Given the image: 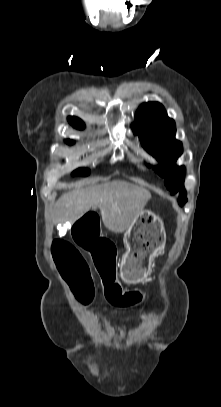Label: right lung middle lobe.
Here are the masks:
<instances>
[{
	"label": "right lung middle lobe",
	"instance_id": "dd1d6c3e",
	"mask_svg": "<svg viewBox=\"0 0 221 407\" xmlns=\"http://www.w3.org/2000/svg\"><path fill=\"white\" fill-rule=\"evenodd\" d=\"M69 144H71V143H69ZM72 174L73 175L87 176L89 174V171L80 168V169L75 170Z\"/></svg>",
	"mask_w": 221,
	"mask_h": 407
}]
</instances>
